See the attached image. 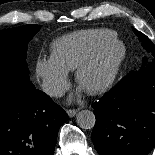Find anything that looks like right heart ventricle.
Here are the masks:
<instances>
[{
	"label": "right heart ventricle",
	"instance_id": "obj_1",
	"mask_svg": "<svg viewBox=\"0 0 155 155\" xmlns=\"http://www.w3.org/2000/svg\"><path fill=\"white\" fill-rule=\"evenodd\" d=\"M116 36L105 28L84 29L56 39L51 46L52 57L66 71H74L105 41Z\"/></svg>",
	"mask_w": 155,
	"mask_h": 155
}]
</instances>
